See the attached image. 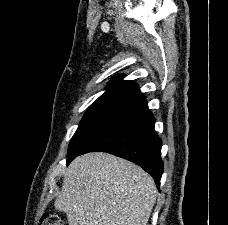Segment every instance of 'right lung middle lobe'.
I'll return each mask as SVG.
<instances>
[{"label":"right lung middle lobe","instance_id":"right-lung-middle-lobe-1","mask_svg":"<svg viewBox=\"0 0 228 225\" xmlns=\"http://www.w3.org/2000/svg\"><path fill=\"white\" fill-rule=\"evenodd\" d=\"M140 94L139 89L124 85H109L86 111L69 144L68 154L99 124Z\"/></svg>","mask_w":228,"mask_h":225}]
</instances>
